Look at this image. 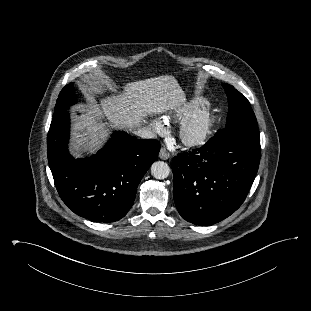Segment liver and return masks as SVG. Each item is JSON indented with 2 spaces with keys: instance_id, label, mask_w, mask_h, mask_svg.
Listing matches in <instances>:
<instances>
[{
  "instance_id": "1",
  "label": "liver",
  "mask_w": 311,
  "mask_h": 311,
  "mask_svg": "<svg viewBox=\"0 0 311 311\" xmlns=\"http://www.w3.org/2000/svg\"><path fill=\"white\" fill-rule=\"evenodd\" d=\"M120 90L102 96L98 106L82 110L73 120L72 153L95 150L107 135L106 117L115 128L133 130L145 122L147 115L178 110L186 104L184 91L173 76L164 75L125 83Z\"/></svg>"
}]
</instances>
